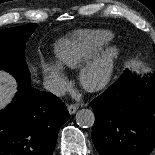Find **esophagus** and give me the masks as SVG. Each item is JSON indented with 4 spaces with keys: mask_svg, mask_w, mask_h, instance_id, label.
Wrapping results in <instances>:
<instances>
[{
    "mask_svg": "<svg viewBox=\"0 0 155 155\" xmlns=\"http://www.w3.org/2000/svg\"><path fill=\"white\" fill-rule=\"evenodd\" d=\"M79 106L77 104H70L68 106V111L71 115L75 114L78 110Z\"/></svg>",
    "mask_w": 155,
    "mask_h": 155,
    "instance_id": "esophagus-1",
    "label": "esophagus"
}]
</instances>
